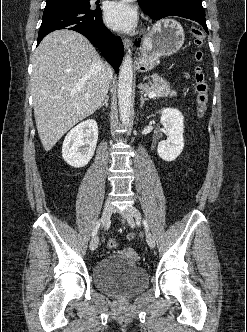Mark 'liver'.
Masks as SVG:
<instances>
[{
  "mask_svg": "<svg viewBox=\"0 0 247 332\" xmlns=\"http://www.w3.org/2000/svg\"><path fill=\"white\" fill-rule=\"evenodd\" d=\"M107 66L91 43L71 30L47 35L34 52L31 77L36 126L49 151L107 96Z\"/></svg>",
  "mask_w": 247,
  "mask_h": 332,
  "instance_id": "6515ba94",
  "label": "liver"
}]
</instances>
